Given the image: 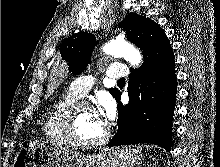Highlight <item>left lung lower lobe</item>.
<instances>
[{"label": "left lung lower lobe", "mask_w": 220, "mask_h": 167, "mask_svg": "<svg viewBox=\"0 0 220 167\" xmlns=\"http://www.w3.org/2000/svg\"><path fill=\"white\" fill-rule=\"evenodd\" d=\"M129 79V103L121 104V92L115 97L119 126L107 146L149 143L169 151L177 87L173 51L131 69Z\"/></svg>", "instance_id": "0a47b994"}]
</instances>
